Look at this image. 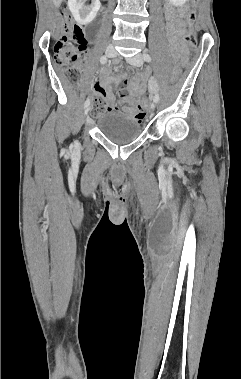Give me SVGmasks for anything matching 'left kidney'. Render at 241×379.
<instances>
[{"mask_svg":"<svg viewBox=\"0 0 241 379\" xmlns=\"http://www.w3.org/2000/svg\"><path fill=\"white\" fill-rule=\"evenodd\" d=\"M175 6H182L187 0H169Z\"/></svg>","mask_w":241,"mask_h":379,"instance_id":"5707ae66","label":"left kidney"}]
</instances>
